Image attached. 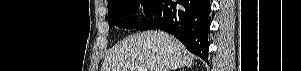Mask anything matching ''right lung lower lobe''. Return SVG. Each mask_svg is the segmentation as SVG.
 <instances>
[{
	"instance_id": "98d812e1",
	"label": "right lung lower lobe",
	"mask_w": 301,
	"mask_h": 71,
	"mask_svg": "<svg viewBox=\"0 0 301 71\" xmlns=\"http://www.w3.org/2000/svg\"><path fill=\"white\" fill-rule=\"evenodd\" d=\"M210 10L208 0H157L142 30L161 28L208 63Z\"/></svg>"
}]
</instances>
